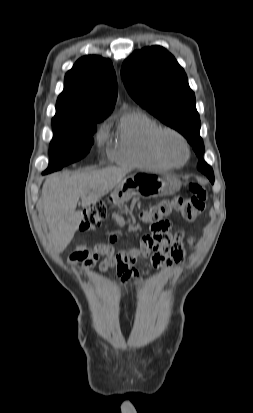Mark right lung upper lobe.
<instances>
[{"instance_id": "obj_1", "label": "right lung upper lobe", "mask_w": 253, "mask_h": 413, "mask_svg": "<svg viewBox=\"0 0 253 413\" xmlns=\"http://www.w3.org/2000/svg\"><path fill=\"white\" fill-rule=\"evenodd\" d=\"M116 97L117 80L111 62L99 56L82 57L66 73L54 118H106Z\"/></svg>"}]
</instances>
